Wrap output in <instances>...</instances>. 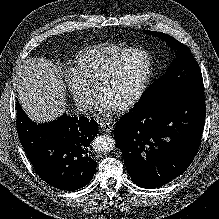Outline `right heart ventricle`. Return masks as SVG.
<instances>
[{"instance_id": "e07e8e85", "label": "right heart ventricle", "mask_w": 219, "mask_h": 219, "mask_svg": "<svg viewBox=\"0 0 219 219\" xmlns=\"http://www.w3.org/2000/svg\"><path fill=\"white\" fill-rule=\"evenodd\" d=\"M134 49L122 43L102 44L81 50L73 61L75 74L96 89L106 70L122 55Z\"/></svg>"}]
</instances>
